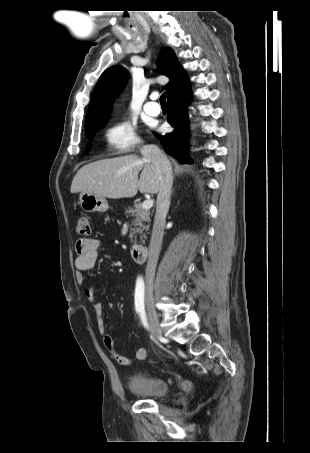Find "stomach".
<instances>
[{
	"instance_id": "1",
	"label": "stomach",
	"mask_w": 310,
	"mask_h": 453,
	"mask_svg": "<svg viewBox=\"0 0 310 453\" xmlns=\"http://www.w3.org/2000/svg\"><path fill=\"white\" fill-rule=\"evenodd\" d=\"M79 204L85 212H106L109 208L108 202L105 197L97 196L90 193H81L79 197Z\"/></svg>"
}]
</instances>
